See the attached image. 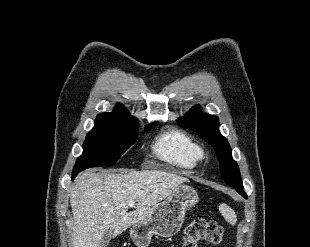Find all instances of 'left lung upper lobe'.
Returning <instances> with one entry per match:
<instances>
[{"label": "left lung upper lobe", "instance_id": "5c2ea615", "mask_svg": "<svg viewBox=\"0 0 310 247\" xmlns=\"http://www.w3.org/2000/svg\"><path fill=\"white\" fill-rule=\"evenodd\" d=\"M178 123L189 130L196 131L202 139L211 144L216 151L221 176L232 187L242 186L238 164L232 159L231 148L219 132V119L215 115H205L198 105L180 118Z\"/></svg>", "mask_w": 310, "mask_h": 247}]
</instances>
